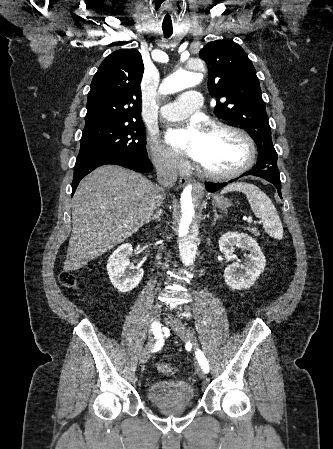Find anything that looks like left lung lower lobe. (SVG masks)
<instances>
[{"label":"left lung lower lobe","mask_w":333,"mask_h":449,"mask_svg":"<svg viewBox=\"0 0 333 449\" xmlns=\"http://www.w3.org/2000/svg\"><path fill=\"white\" fill-rule=\"evenodd\" d=\"M247 175L258 176V177L264 178L265 180L271 182L272 184H274L276 186L279 196L282 197L281 196V181H280V175L279 174H273V173H270L268 171L258 170V169L254 168L251 171H248V172L244 173L240 177L247 176ZM240 177H238V178H236L234 180H231L230 182H233V181L239 179ZM226 185H227V183H216V184L215 183H206V190L208 192H215V191L221 189L222 187H224Z\"/></svg>","instance_id":"1"}]
</instances>
